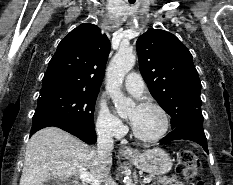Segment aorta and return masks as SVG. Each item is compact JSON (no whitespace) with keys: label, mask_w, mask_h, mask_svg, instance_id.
<instances>
[{"label":"aorta","mask_w":233,"mask_h":185,"mask_svg":"<svg viewBox=\"0 0 233 185\" xmlns=\"http://www.w3.org/2000/svg\"><path fill=\"white\" fill-rule=\"evenodd\" d=\"M136 61L131 51L120 49L111 60L106 74V90L110 95L118 115L122 118L135 107L134 102L126 98L120 86L125 75L133 68ZM125 185H133L131 179L124 181Z\"/></svg>","instance_id":"1"}]
</instances>
